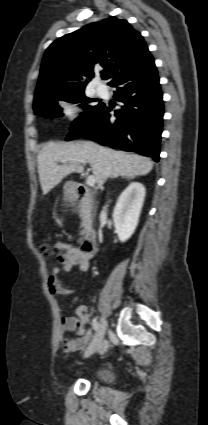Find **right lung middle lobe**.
I'll return each instance as SVG.
<instances>
[{"label": "right lung middle lobe", "mask_w": 208, "mask_h": 425, "mask_svg": "<svg viewBox=\"0 0 208 425\" xmlns=\"http://www.w3.org/2000/svg\"><path fill=\"white\" fill-rule=\"evenodd\" d=\"M60 101L78 104L84 110L82 115L92 112L101 104L94 103L96 99H89L86 97L84 89H82L71 93H51L45 95L34 102V112L37 115H48L51 117L62 116V108L58 104Z\"/></svg>", "instance_id": "1"}]
</instances>
